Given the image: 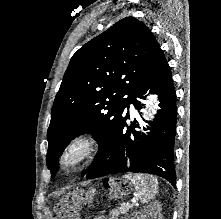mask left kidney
I'll use <instances>...</instances> for the list:
<instances>
[{"label": "left kidney", "instance_id": "obj_1", "mask_svg": "<svg viewBox=\"0 0 221 219\" xmlns=\"http://www.w3.org/2000/svg\"><path fill=\"white\" fill-rule=\"evenodd\" d=\"M162 219L161 206L159 202H155L143 210L132 215L131 219Z\"/></svg>", "mask_w": 221, "mask_h": 219}]
</instances>
